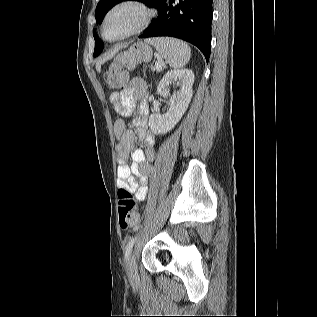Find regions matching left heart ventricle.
I'll return each instance as SVG.
<instances>
[{"label": "left heart ventricle", "instance_id": "1", "mask_svg": "<svg viewBox=\"0 0 317 317\" xmlns=\"http://www.w3.org/2000/svg\"><path fill=\"white\" fill-rule=\"evenodd\" d=\"M141 12L134 7H123L115 11L105 26V35L112 39L132 29L141 19Z\"/></svg>", "mask_w": 317, "mask_h": 317}]
</instances>
